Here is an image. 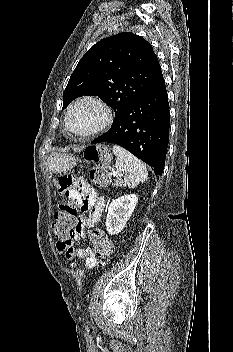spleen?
I'll return each instance as SVG.
<instances>
[{"instance_id": "spleen-1", "label": "spleen", "mask_w": 233, "mask_h": 352, "mask_svg": "<svg viewBox=\"0 0 233 352\" xmlns=\"http://www.w3.org/2000/svg\"><path fill=\"white\" fill-rule=\"evenodd\" d=\"M113 153L116 155V169L124 173V185L134 188L147 181L148 172L142 161L118 145L113 146Z\"/></svg>"}]
</instances>
